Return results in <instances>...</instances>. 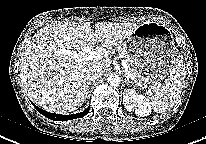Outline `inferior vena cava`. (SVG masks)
Listing matches in <instances>:
<instances>
[{
  "mask_svg": "<svg viewBox=\"0 0 206 144\" xmlns=\"http://www.w3.org/2000/svg\"><path fill=\"white\" fill-rule=\"evenodd\" d=\"M102 74V69L99 66H92L87 70L86 78L89 82L95 81Z\"/></svg>",
  "mask_w": 206,
  "mask_h": 144,
  "instance_id": "602c4592",
  "label": "inferior vena cava"
}]
</instances>
